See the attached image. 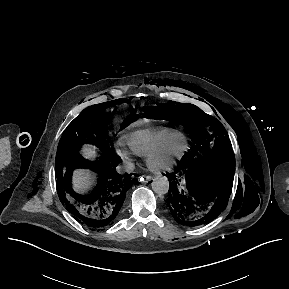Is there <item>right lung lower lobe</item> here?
Listing matches in <instances>:
<instances>
[{
	"label": "right lung lower lobe",
	"instance_id": "right-lung-lower-lobe-1",
	"mask_svg": "<svg viewBox=\"0 0 289 289\" xmlns=\"http://www.w3.org/2000/svg\"><path fill=\"white\" fill-rule=\"evenodd\" d=\"M119 161L120 158L110 148L103 151L95 162L87 161L78 154L63 179H57V193L61 203L79 223L91 230H103L114 224L122 213L127 190L138 183L136 174L132 178L130 174L117 173ZM76 168L97 172L99 182L91 193L79 194L72 189V173Z\"/></svg>",
	"mask_w": 289,
	"mask_h": 289
}]
</instances>
